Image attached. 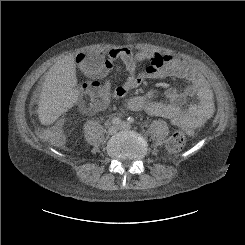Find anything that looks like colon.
<instances>
[{
    "instance_id": "colon-1",
    "label": "colon",
    "mask_w": 245,
    "mask_h": 245,
    "mask_svg": "<svg viewBox=\"0 0 245 245\" xmlns=\"http://www.w3.org/2000/svg\"><path fill=\"white\" fill-rule=\"evenodd\" d=\"M82 56H78L77 62L81 63ZM96 91L109 92V86L107 84L100 85L99 83H92L90 85ZM68 118L66 116L60 117L56 123L49 127H45L40 130L39 134L42 138L50 141L53 144H61L64 139L63 126L67 123ZM187 134L183 130L175 131L167 140V149L171 153H178L183 150L186 145Z\"/></svg>"
}]
</instances>
